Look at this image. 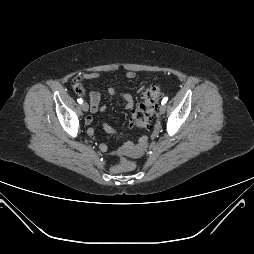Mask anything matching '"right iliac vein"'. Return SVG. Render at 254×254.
Listing matches in <instances>:
<instances>
[{
	"label": "right iliac vein",
	"instance_id": "1",
	"mask_svg": "<svg viewBox=\"0 0 254 254\" xmlns=\"http://www.w3.org/2000/svg\"><path fill=\"white\" fill-rule=\"evenodd\" d=\"M81 108L84 112H87L89 109V105L86 102H84L81 104Z\"/></svg>",
	"mask_w": 254,
	"mask_h": 254
}]
</instances>
